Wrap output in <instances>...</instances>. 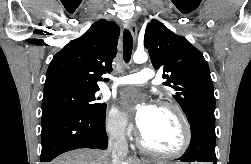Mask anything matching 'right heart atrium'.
<instances>
[{"mask_svg":"<svg viewBox=\"0 0 251 164\" xmlns=\"http://www.w3.org/2000/svg\"><path fill=\"white\" fill-rule=\"evenodd\" d=\"M108 132L117 138H125L131 134L132 126L127 115L115 107H112L106 118Z\"/></svg>","mask_w":251,"mask_h":164,"instance_id":"obj_1","label":"right heart atrium"}]
</instances>
